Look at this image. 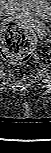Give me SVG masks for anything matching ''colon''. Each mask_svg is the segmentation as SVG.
Segmentation results:
<instances>
[{
  "instance_id": "1",
  "label": "colon",
  "mask_w": 51,
  "mask_h": 153,
  "mask_svg": "<svg viewBox=\"0 0 51 153\" xmlns=\"http://www.w3.org/2000/svg\"><path fill=\"white\" fill-rule=\"evenodd\" d=\"M35 46V34L23 25L10 22L4 26L1 52L5 60L22 63L31 57Z\"/></svg>"
}]
</instances>
